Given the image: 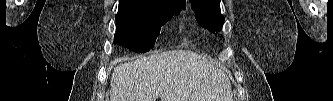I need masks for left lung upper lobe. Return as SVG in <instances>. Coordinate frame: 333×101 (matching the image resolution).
Listing matches in <instances>:
<instances>
[{
	"label": "left lung upper lobe",
	"mask_w": 333,
	"mask_h": 101,
	"mask_svg": "<svg viewBox=\"0 0 333 101\" xmlns=\"http://www.w3.org/2000/svg\"><path fill=\"white\" fill-rule=\"evenodd\" d=\"M197 21L210 31L222 29L224 17L220 13V0H190Z\"/></svg>",
	"instance_id": "obj_1"
}]
</instances>
